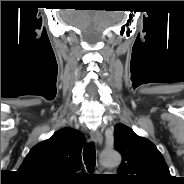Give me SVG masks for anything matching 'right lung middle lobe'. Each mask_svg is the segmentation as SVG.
<instances>
[{"label": "right lung middle lobe", "mask_w": 184, "mask_h": 184, "mask_svg": "<svg viewBox=\"0 0 184 184\" xmlns=\"http://www.w3.org/2000/svg\"><path fill=\"white\" fill-rule=\"evenodd\" d=\"M32 183H36V184H45V183H42V182H32Z\"/></svg>", "instance_id": "right-lung-middle-lobe-1"}]
</instances>
